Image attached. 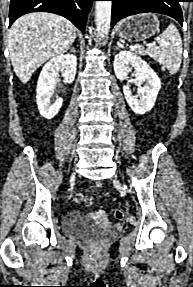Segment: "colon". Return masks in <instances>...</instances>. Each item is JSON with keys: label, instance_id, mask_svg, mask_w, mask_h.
<instances>
[{"label": "colon", "instance_id": "5ec220e1", "mask_svg": "<svg viewBox=\"0 0 193 287\" xmlns=\"http://www.w3.org/2000/svg\"><path fill=\"white\" fill-rule=\"evenodd\" d=\"M74 201L77 204H84L86 206H91L93 204V198L90 196H86L83 193H76L74 195ZM114 217L117 220H122L124 218V212L120 209H116L114 211Z\"/></svg>", "mask_w": 193, "mask_h": 287}]
</instances>
